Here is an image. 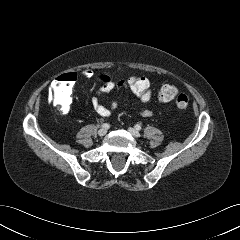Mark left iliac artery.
<instances>
[{
	"label": "left iliac artery",
	"mask_w": 240,
	"mask_h": 240,
	"mask_svg": "<svg viewBox=\"0 0 240 240\" xmlns=\"http://www.w3.org/2000/svg\"><path fill=\"white\" fill-rule=\"evenodd\" d=\"M135 128H136L137 130H141V126H140L139 124H136V125H135Z\"/></svg>",
	"instance_id": "obj_1"
}]
</instances>
